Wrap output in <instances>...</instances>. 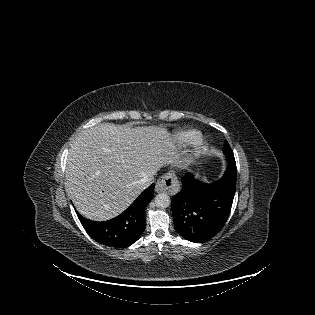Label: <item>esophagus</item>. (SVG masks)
I'll return each instance as SVG.
<instances>
[{"mask_svg":"<svg viewBox=\"0 0 315 315\" xmlns=\"http://www.w3.org/2000/svg\"><path fill=\"white\" fill-rule=\"evenodd\" d=\"M179 188L180 185L177 177L173 173H167L158 179L155 186V191L175 194L179 191Z\"/></svg>","mask_w":315,"mask_h":315,"instance_id":"esophagus-1","label":"esophagus"}]
</instances>
